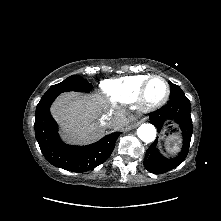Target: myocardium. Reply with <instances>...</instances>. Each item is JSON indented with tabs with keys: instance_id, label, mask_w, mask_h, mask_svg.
<instances>
[{
	"instance_id": "myocardium-1",
	"label": "myocardium",
	"mask_w": 221,
	"mask_h": 221,
	"mask_svg": "<svg viewBox=\"0 0 221 221\" xmlns=\"http://www.w3.org/2000/svg\"><path fill=\"white\" fill-rule=\"evenodd\" d=\"M160 79L166 88L164 96L155 102H150L147 99V90L152 80ZM171 93L169 82L160 75H151L147 78V80L143 83L137 98V106L141 111L149 112L153 111L161 106H163L169 99Z\"/></svg>"
}]
</instances>
